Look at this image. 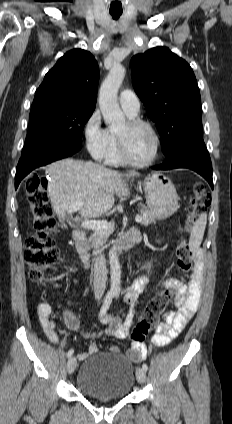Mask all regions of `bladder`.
<instances>
[{
  "instance_id": "1",
  "label": "bladder",
  "mask_w": 232,
  "mask_h": 424,
  "mask_svg": "<svg viewBox=\"0 0 232 424\" xmlns=\"http://www.w3.org/2000/svg\"><path fill=\"white\" fill-rule=\"evenodd\" d=\"M135 384V367L120 353L95 354L79 369L76 385L86 396L122 399Z\"/></svg>"
}]
</instances>
